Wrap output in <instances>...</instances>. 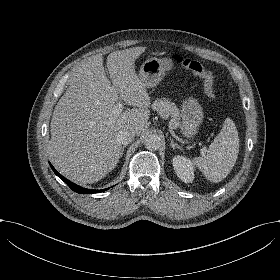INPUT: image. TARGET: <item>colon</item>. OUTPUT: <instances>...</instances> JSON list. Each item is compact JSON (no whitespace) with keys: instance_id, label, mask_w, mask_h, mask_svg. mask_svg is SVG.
Segmentation results:
<instances>
[{"instance_id":"obj_1","label":"colon","mask_w":280,"mask_h":280,"mask_svg":"<svg viewBox=\"0 0 280 280\" xmlns=\"http://www.w3.org/2000/svg\"><path fill=\"white\" fill-rule=\"evenodd\" d=\"M185 66L189 71L199 75L202 78L205 94L209 99H215L216 94L214 91L215 78L198 60L189 58L184 59L180 63Z\"/></svg>"}]
</instances>
